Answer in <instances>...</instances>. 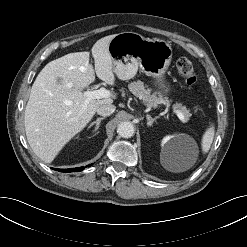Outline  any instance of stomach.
Masks as SVG:
<instances>
[{
	"mask_svg": "<svg viewBox=\"0 0 247 247\" xmlns=\"http://www.w3.org/2000/svg\"><path fill=\"white\" fill-rule=\"evenodd\" d=\"M112 58L113 71L119 79L133 78L138 69L157 80L161 91L167 94L170 90L164 81L172 59L171 45L160 39H148L135 32L116 34L108 47Z\"/></svg>",
	"mask_w": 247,
	"mask_h": 247,
	"instance_id": "1",
	"label": "stomach"
}]
</instances>
